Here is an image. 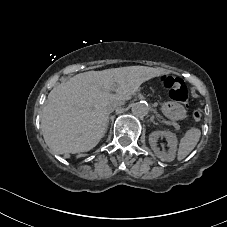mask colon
<instances>
[{
	"label": "colon",
	"mask_w": 227,
	"mask_h": 227,
	"mask_svg": "<svg viewBox=\"0 0 227 227\" xmlns=\"http://www.w3.org/2000/svg\"><path fill=\"white\" fill-rule=\"evenodd\" d=\"M163 85L169 89L171 97L180 103H185L188 99L189 93L183 80L178 77L164 75L161 77ZM192 119L199 121L202 118V112L199 109H194L191 112Z\"/></svg>",
	"instance_id": "obj_1"
}]
</instances>
